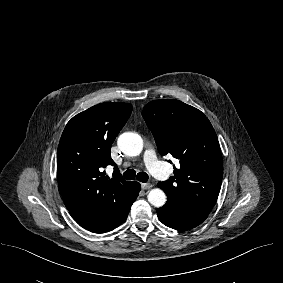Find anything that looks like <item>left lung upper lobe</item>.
<instances>
[{"instance_id": "left-lung-upper-lobe-1", "label": "left lung upper lobe", "mask_w": 283, "mask_h": 283, "mask_svg": "<svg viewBox=\"0 0 283 283\" xmlns=\"http://www.w3.org/2000/svg\"><path fill=\"white\" fill-rule=\"evenodd\" d=\"M142 116L161 155L171 154L180 162L174 176L159 182L167 201L208 215L217 200L223 175L217 135L207 117L179 100H155Z\"/></svg>"}]
</instances>
